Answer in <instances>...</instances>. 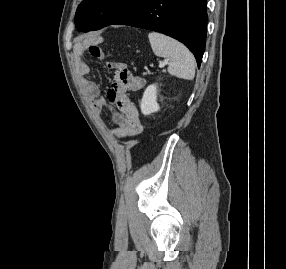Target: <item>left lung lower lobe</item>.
I'll return each instance as SVG.
<instances>
[{
	"mask_svg": "<svg viewBox=\"0 0 286 269\" xmlns=\"http://www.w3.org/2000/svg\"><path fill=\"white\" fill-rule=\"evenodd\" d=\"M206 1L143 0L113 24L150 29L173 37L191 50L199 67L206 43Z\"/></svg>",
	"mask_w": 286,
	"mask_h": 269,
	"instance_id": "obj_1",
	"label": "left lung lower lobe"
}]
</instances>
